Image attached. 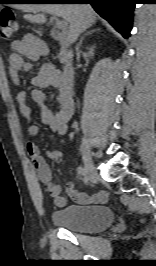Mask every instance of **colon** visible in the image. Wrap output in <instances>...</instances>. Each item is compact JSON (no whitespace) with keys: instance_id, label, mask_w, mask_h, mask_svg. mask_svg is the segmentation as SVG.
I'll return each mask as SVG.
<instances>
[{"instance_id":"5ec220e1","label":"colon","mask_w":156,"mask_h":266,"mask_svg":"<svg viewBox=\"0 0 156 266\" xmlns=\"http://www.w3.org/2000/svg\"><path fill=\"white\" fill-rule=\"evenodd\" d=\"M18 31V23L14 13L5 9L0 13V34L5 40H12Z\"/></svg>"}]
</instances>
